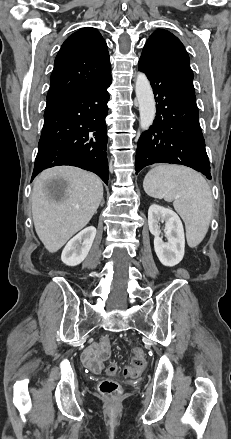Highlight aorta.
<instances>
[{"instance_id":"762f6f07","label":"aorta","mask_w":231,"mask_h":439,"mask_svg":"<svg viewBox=\"0 0 231 439\" xmlns=\"http://www.w3.org/2000/svg\"><path fill=\"white\" fill-rule=\"evenodd\" d=\"M135 92L139 104L140 127L145 131L153 124L156 105L150 82L144 73L137 74Z\"/></svg>"}]
</instances>
